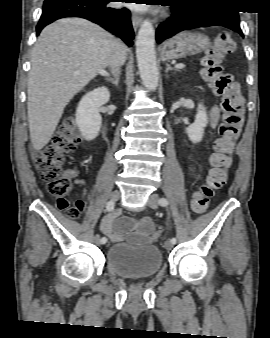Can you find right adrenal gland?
I'll return each mask as SVG.
<instances>
[{"label":"right adrenal gland","mask_w":270,"mask_h":338,"mask_svg":"<svg viewBox=\"0 0 270 338\" xmlns=\"http://www.w3.org/2000/svg\"><path fill=\"white\" fill-rule=\"evenodd\" d=\"M101 75L104 76L106 78V80L111 82L114 86H116V87L118 86L119 76H120L119 71L114 72L112 76L107 75V73L105 71Z\"/></svg>","instance_id":"right-adrenal-gland-1"}]
</instances>
